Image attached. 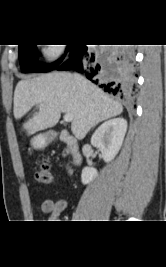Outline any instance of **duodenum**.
Wrapping results in <instances>:
<instances>
[{"label":"duodenum","instance_id":"duodenum-1","mask_svg":"<svg viewBox=\"0 0 166 267\" xmlns=\"http://www.w3.org/2000/svg\"><path fill=\"white\" fill-rule=\"evenodd\" d=\"M58 139L68 146L69 154L71 156L73 164L75 166L80 165L82 162V157L79 151V145L76 138L71 136L66 131H60L58 134Z\"/></svg>","mask_w":166,"mask_h":267}]
</instances>
